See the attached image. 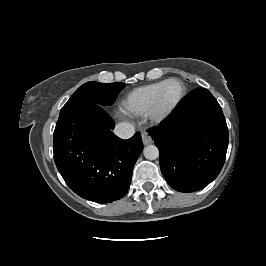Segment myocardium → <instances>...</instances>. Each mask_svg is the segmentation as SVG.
<instances>
[{
	"label": "myocardium",
	"mask_w": 266,
	"mask_h": 266,
	"mask_svg": "<svg viewBox=\"0 0 266 266\" xmlns=\"http://www.w3.org/2000/svg\"><path fill=\"white\" fill-rule=\"evenodd\" d=\"M173 82H176L180 85L181 87L180 95L171 107H169L168 109H163L161 106V97L166 87ZM185 95H186V87L182 80H180L179 78H170L165 80L163 85L158 90L155 99L153 101V104L151 106L150 112L148 114L150 120L154 123H161L166 119H168L179 107Z\"/></svg>",
	"instance_id": "1"
}]
</instances>
